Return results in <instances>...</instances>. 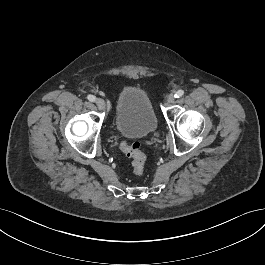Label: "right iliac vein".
<instances>
[{
	"mask_svg": "<svg viewBox=\"0 0 265 265\" xmlns=\"http://www.w3.org/2000/svg\"><path fill=\"white\" fill-rule=\"evenodd\" d=\"M95 103H96L97 107H98L100 110H105V108H106V104H105V102H104L103 99L98 98V99L95 100Z\"/></svg>",
	"mask_w": 265,
	"mask_h": 265,
	"instance_id": "obj_1",
	"label": "right iliac vein"
}]
</instances>
